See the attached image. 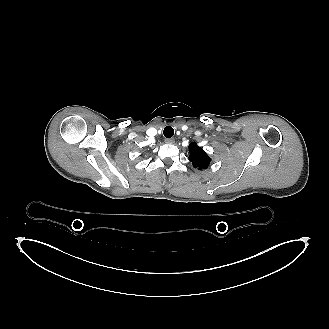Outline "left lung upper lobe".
I'll list each match as a JSON object with an SVG mask.
<instances>
[{
    "instance_id": "1",
    "label": "left lung upper lobe",
    "mask_w": 329,
    "mask_h": 329,
    "mask_svg": "<svg viewBox=\"0 0 329 329\" xmlns=\"http://www.w3.org/2000/svg\"><path fill=\"white\" fill-rule=\"evenodd\" d=\"M189 152L190 161L192 162L194 168L205 169L209 166L211 161L210 157L202 148L197 146L196 143L189 145Z\"/></svg>"
}]
</instances>
